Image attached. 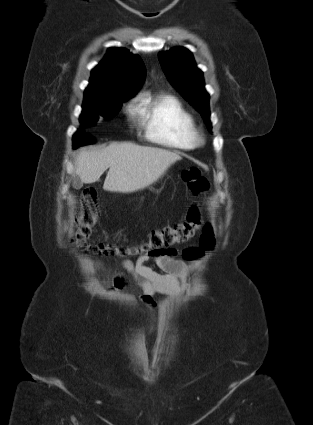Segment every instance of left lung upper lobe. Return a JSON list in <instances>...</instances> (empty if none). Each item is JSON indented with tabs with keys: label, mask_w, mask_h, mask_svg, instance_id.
<instances>
[{
	"label": "left lung upper lobe",
	"mask_w": 313,
	"mask_h": 425,
	"mask_svg": "<svg viewBox=\"0 0 313 425\" xmlns=\"http://www.w3.org/2000/svg\"><path fill=\"white\" fill-rule=\"evenodd\" d=\"M158 58L169 82L201 114L211 130L209 94L192 53L186 48L175 47L159 53Z\"/></svg>",
	"instance_id": "5c2ea615"
}]
</instances>
